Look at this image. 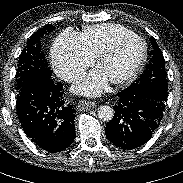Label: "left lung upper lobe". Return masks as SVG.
<instances>
[{"label":"left lung upper lobe","mask_w":183,"mask_h":183,"mask_svg":"<svg viewBox=\"0 0 183 183\" xmlns=\"http://www.w3.org/2000/svg\"><path fill=\"white\" fill-rule=\"evenodd\" d=\"M151 43L153 47L152 63L148 65L146 71L140 75V78L127 89L133 94H142L166 103L168 84L165 61L153 37L151 38Z\"/></svg>","instance_id":"obj_1"}]
</instances>
